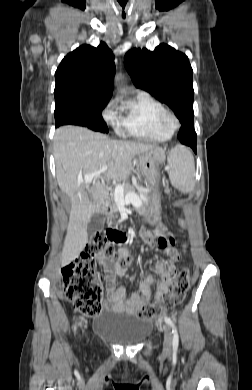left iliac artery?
I'll use <instances>...</instances> for the list:
<instances>
[{
	"label": "left iliac artery",
	"instance_id": "left-iliac-artery-1",
	"mask_svg": "<svg viewBox=\"0 0 252 390\" xmlns=\"http://www.w3.org/2000/svg\"><path fill=\"white\" fill-rule=\"evenodd\" d=\"M164 320L172 328V333H173L172 345H173V350L176 351L179 345V336H178L177 328L174 322L169 317H165Z\"/></svg>",
	"mask_w": 252,
	"mask_h": 390
}]
</instances>
